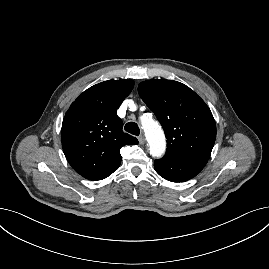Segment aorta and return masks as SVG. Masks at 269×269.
Wrapping results in <instances>:
<instances>
[{
  "mask_svg": "<svg viewBox=\"0 0 269 269\" xmlns=\"http://www.w3.org/2000/svg\"><path fill=\"white\" fill-rule=\"evenodd\" d=\"M142 128L144 130L149 151L153 157H161L166 150V140L161 126L151 118H141Z\"/></svg>",
  "mask_w": 269,
  "mask_h": 269,
  "instance_id": "aorta-1",
  "label": "aorta"
}]
</instances>
